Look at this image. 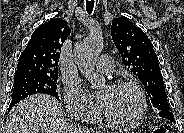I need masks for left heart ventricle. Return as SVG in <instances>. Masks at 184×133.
Masks as SVG:
<instances>
[{"label":"left heart ventricle","instance_id":"1","mask_svg":"<svg viewBox=\"0 0 184 133\" xmlns=\"http://www.w3.org/2000/svg\"><path fill=\"white\" fill-rule=\"evenodd\" d=\"M104 96L102 111L115 119H126L139 109V98L131 88H113L105 86L101 89Z\"/></svg>","mask_w":184,"mask_h":133}]
</instances>
